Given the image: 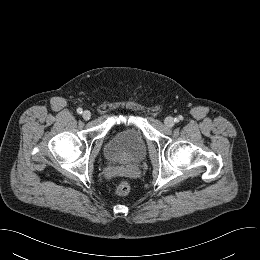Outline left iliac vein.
Returning <instances> with one entry per match:
<instances>
[{
  "instance_id": "1",
  "label": "left iliac vein",
  "mask_w": 260,
  "mask_h": 260,
  "mask_svg": "<svg viewBox=\"0 0 260 260\" xmlns=\"http://www.w3.org/2000/svg\"><path fill=\"white\" fill-rule=\"evenodd\" d=\"M164 123H165V125H166L167 127H172V126H174V124H175V120H174L173 117L168 116V117L165 118Z\"/></svg>"
}]
</instances>
